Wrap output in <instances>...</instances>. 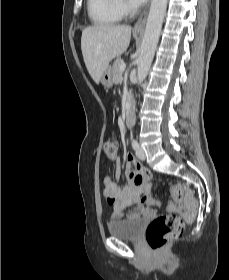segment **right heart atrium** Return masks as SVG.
<instances>
[{"label": "right heart atrium", "instance_id": "obj_1", "mask_svg": "<svg viewBox=\"0 0 229 280\" xmlns=\"http://www.w3.org/2000/svg\"><path fill=\"white\" fill-rule=\"evenodd\" d=\"M118 4L123 13H127L131 10V5L128 0H118Z\"/></svg>", "mask_w": 229, "mask_h": 280}]
</instances>
